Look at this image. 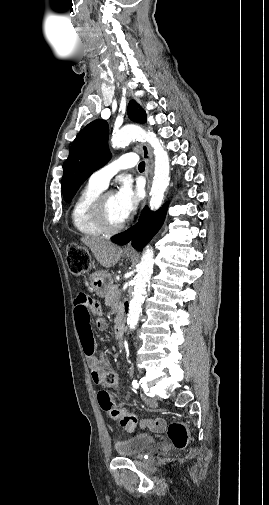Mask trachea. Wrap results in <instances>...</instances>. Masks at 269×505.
<instances>
[{"mask_svg":"<svg viewBox=\"0 0 269 505\" xmlns=\"http://www.w3.org/2000/svg\"><path fill=\"white\" fill-rule=\"evenodd\" d=\"M138 169L140 171H143L145 169V162H141L139 165H138Z\"/></svg>","mask_w":269,"mask_h":505,"instance_id":"obj_1","label":"trachea"}]
</instances>
